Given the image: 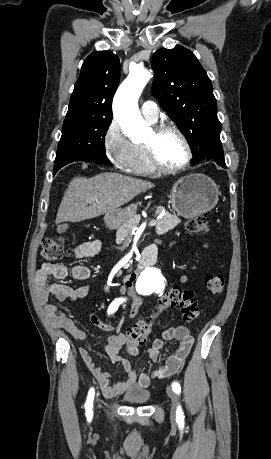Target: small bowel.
<instances>
[{
    "instance_id": "small-bowel-1",
    "label": "small bowel",
    "mask_w": 271,
    "mask_h": 459,
    "mask_svg": "<svg viewBox=\"0 0 271 459\" xmlns=\"http://www.w3.org/2000/svg\"><path fill=\"white\" fill-rule=\"evenodd\" d=\"M106 244L100 240L87 241L77 245L73 250L76 258H87L99 255ZM144 265L154 264V257L150 254L144 256ZM68 277L75 280H87L90 277V270L83 265H74L70 268L62 264L44 263L36 272V288L44 314L49 323L59 329L67 331L72 337L82 343L86 340V333L79 329L76 324L67 318L55 305L48 303V298L54 296L59 301H76L84 298L90 291L88 285L80 287H70L62 283H49V279L63 281ZM132 275L125 279L126 284H130ZM181 282H186L182 277ZM125 288H122V292ZM141 301L135 298L130 317L134 318L140 308ZM91 322L98 328L106 332H114L108 340L106 353L113 363L122 365L126 372L124 380L112 383L110 375L99 368L90 353L83 346H80L79 353L82 361L88 367L93 377L99 383L103 395L106 398L118 396L131 388H148L157 379H162L175 374L189 355L194 338L189 329L184 326H175L166 329L161 338L154 340L152 346L145 351V354L152 360L157 361L164 350V342L175 340L178 346L168 359L149 373L139 372L128 360L120 356V350L125 344V335L120 332L119 325H113L102 321L97 315L90 314Z\"/></svg>"
}]
</instances>
